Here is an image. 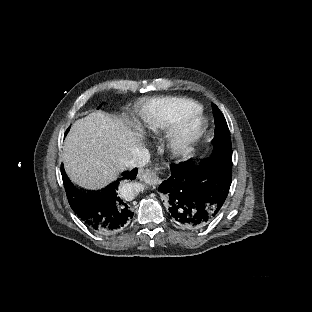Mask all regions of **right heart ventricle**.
<instances>
[{
	"instance_id": "right-heart-ventricle-1",
	"label": "right heart ventricle",
	"mask_w": 312,
	"mask_h": 312,
	"mask_svg": "<svg viewBox=\"0 0 312 312\" xmlns=\"http://www.w3.org/2000/svg\"><path fill=\"white\" fill-rule=\"evenodd\" d=\"M198 101L189 96L165 97L151 96L142 102L134 112L135 122L139 128L157 133H166L170 126H177L188 115L198 110Z\"/></svg>"
}]
</instances>
